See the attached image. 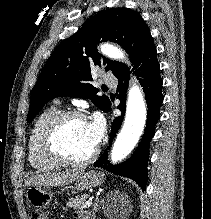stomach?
Listing matches in <instances>:
<instances>
[{
	"label": "stomach",
	"mask_w": 211,
	"mask_h": 219,
	"mask_svg": "<svg viewBox=\"0 0 211 219\" xmlns=\"http://www.w3.org/2000/svg\"><path fill=\"white\" fill-rule=\"evenodd\" d=\"M104 174L97 171L83 172L75 181V188L83 191L101 185ZM27 200L36 208H45L52 201L53 194L45 186H30L26 192Z\"/></svg>",
	"instance_id": "1"
}]
</instances>
